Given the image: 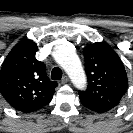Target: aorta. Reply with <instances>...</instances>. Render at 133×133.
<instances>
[{"instance_id":"1","label":"aorta","mask_w":133,"mask_h":133,"mask_svg":"<svg viewBox=\"0 0 133 133\" xmlns=\"http://www.w3.org/2000/svg\"><path fill=\"white\" fill-rule=\"evenodd\" d=\"M55 61L65 70L72 83L78 89L86 87V75L77 54L64 45H58L53 51Z\"/></svg>"}]
</instances>
